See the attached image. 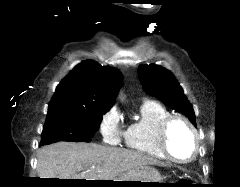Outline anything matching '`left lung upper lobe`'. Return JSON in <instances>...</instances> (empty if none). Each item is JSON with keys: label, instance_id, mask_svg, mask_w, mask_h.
I'll list each match as a JSON object with an SVG mask.
<instances>
[{"label": "left lung upper lobe", "instance_id": "obj_1", "mask_svg": "<svg viewBox=\"0 0 240 187\" xmlns=\"http://www.w3.org/2000/svg\"><path fill=\"white\" fill-rule=\"evenodd\" d=\"M138 75L146 93L184 114L196 126L194 109L170 71L157 65H140Z\"/></svg>", "mask_w": 240, "mask_h": 187}]
</instances>
